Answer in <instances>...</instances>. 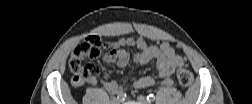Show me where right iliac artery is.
Listing matches in <instances>:
<instances>
[{
	"instance_id": "right-iliac-artery-1",
	"label": "right iliac artery",
	"mask_w": 252,
	"mask_h": 104,
	"mask_svg": "<svg viewBox=\"0 0 252 104\" xmlns=\"http://www.w3.org/2000/svg\"><path fill=\"white\" fill-rule=\"evenodd\" d=\"M125 97H126V94L123 93V92H120V93L117 95V99H118V100H121V101L125 100ZM112 99H115V97H113Z\"/></svg>"
}]
</instances>
